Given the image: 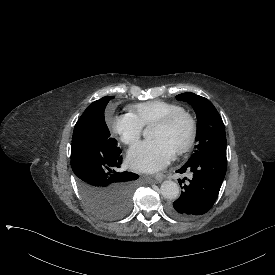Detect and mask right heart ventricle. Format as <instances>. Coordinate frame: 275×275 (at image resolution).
<instances>
[{"mask_svg": "<svg viewBox=\"0 0 275 275\" xmlns=\"http://www.w3.org/2000/svg\"><path fill=\"white\" fill-rule=\"evenodd\" d=\"M129 110L142 126L156 124L173 113L184 111L180 105L163 100H151L135 104L130 106Z\"/></svg>", "mask_w": 275, "mask_h": 275, "instance_id": "1", "label": "right heart ventricle"}]
</instances>
